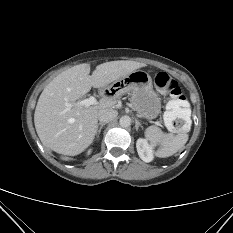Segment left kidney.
<instances>
[{"label": "left kidney", "instance_id": "obj_1", "mask_svg": "<svg viewBox=\"0 0 233 233\" xmlns=\"http://www.w3.org/2000/svg\"><path fill=\"white\" fill-rule=\"evenodd\" d=\"M139 157L144 162H151L154 158L153 146L148 144L146 139L139 138L136 142Z\"/></svg>", "mask_w": 233, "mask_h": 233}]
</instances>
